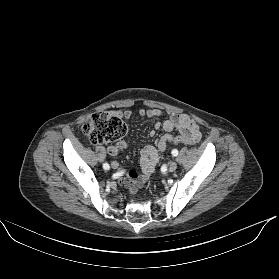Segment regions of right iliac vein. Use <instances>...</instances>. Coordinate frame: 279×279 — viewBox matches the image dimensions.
<instances>
[{
  "label": "right iliac vein",
  "mask_w": 279,
  "mask_h": 279,
  "mask_svg": "<svg viewBox=\"0 0 279 279\" xmlns=\"http://www.w3.org/2000/svg\"><path fill=\"white\" fill-rule=\"evenodd\" d=\"M111 167H112L113 169H117V168L119 167V163L116 162V161H113L112 164H111Z\"/></svg>",
  "instance_id": "1"
}]
</instances>
